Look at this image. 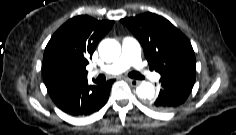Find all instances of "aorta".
<instances>
[{"label":"aorta","instance_id":"aorta-1","mask_svg":"<svg viewBox=\"0 0 236 135\" xmlns=\"http://www.w3.org/2000/svg\"><path fill=\"white\" fill-rule=\"evenodd\" d=\"M98 51L104 61L114 62L120 56L121 46L114 39H105L99 44ZM136 93L139 98L151 100L154 98L155 89L151 83L144 81L137 87Z\"/></svg>","mask_w":236,"mask_h":135}]
</instances>
